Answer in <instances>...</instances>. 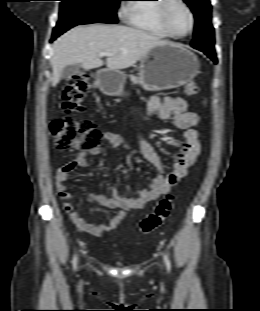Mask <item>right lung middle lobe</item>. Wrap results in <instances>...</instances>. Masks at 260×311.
<instances>
[{"label":"right lung middle lobe","instance_id":"1","mask_svg":"<svg viewBox=\"0 0 260 311\" xmlns=\"http://www.w3.org/2000/svg\"><path fill=\"white\" fill-rule=\"evenodd\" d=\"M56 27L89 23H117L116 9L122 0H60Z\"/></svg>","mask_w":260,"mask_h":311}]
</instances>
